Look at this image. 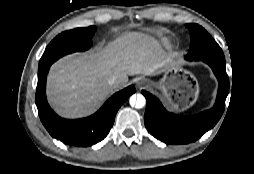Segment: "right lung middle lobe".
I'll use <instances>...</instances> for the list:
<instances>
[{
    "instance_id": "right-lung-middle-lobe-1",
    "label": "right lung middle lobe",
    "mask_w": 254,
    "mask_h": 174,
    "mask_svg": "<svg viewBox=\"0 0 254 174\" xmlns=\"http://www.w3.org/2000/svg\"><path fill=\"white\" fill-rule=\"evenodd\" d=\"M95 31L96 27L90 26L65 31L56 36L39 61L38 73L66 54L89 49Z\"/></svg>"
}]
</instances>
